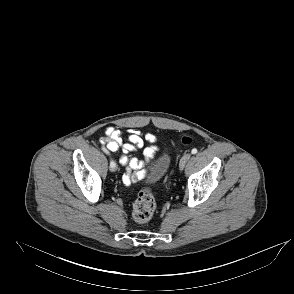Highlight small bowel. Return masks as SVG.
Segmentation results:
<instances>
[{
  "mask_svg": "<svg viewBox=\"0 0 294 294\" xmlns=\"http://www.w3.org/2000/svg\"><path fill=\"white\" fill-rule=\"evenodd\" d=\"M128 140L124 141L123 133L116 127L110 126L105 130V136L100 139V143L112 152L120 153V163L126 166V172L122 177L123 183L129 186L145 177L147 171L144 169L145 163L153 159L159 151L155 144L157 138L151 133L143 134L137 128L127 129ZM144 139L151 143L144 150L146 161L138 160L131 156V153L144 145Z\"/></svg>",
  "mask_w": 294,
  "mask_h": 294,
  "instance_id": "obj_1",
  "label": "small bowel"
}]
</instances>
